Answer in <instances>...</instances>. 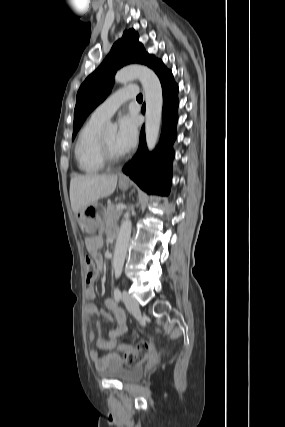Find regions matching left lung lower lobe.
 Listing matches in <instances>:
<instances>
[{
  "label": "left lung lower lobe",
  "instance_id": "1",
  "mask_svg": "<svg viewBox=\"0 0 285 427\" xmlns=\"http://www.w3.org/2000/svg\"><path fill=\"white\" fill-rule=\"evenodd\" d=\"M158 75L163 90V128L156 150L150 154L145 142L144 126L141 130L139 150L135 157L125 166L123 172L148 193L168 195L172 178V160L174 158L173 142L176 138L178 86L173 75L162 61L153 67ZM145 108L143 106L142 112Z\"/></svg>",
  "mask_w": 285,
  "mask_h": 427
}]
</instances>
